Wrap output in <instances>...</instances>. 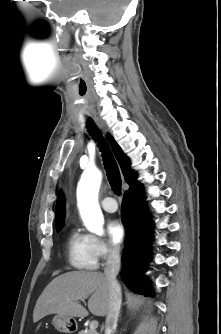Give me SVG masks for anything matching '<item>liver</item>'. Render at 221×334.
<instances>
[{
    "label": "liver",
    "instance_id": "1",
    "mask_svg": "<svg viewBox=\"0 0 221 334\" xmlns=\"http://www.w3.org/2000/svg\"><path fill=\"white\" fill-rule=\"evenodd\" d=\"M88 299V310L95 316H105L109 310V282L100 272L71 271L54 278L39 296L33 322L49 314L64 317H86L88 311L80 300Z\"/></svg>",
    "mask_w": 221,
    "mask_h": 334
}]
</instances>
